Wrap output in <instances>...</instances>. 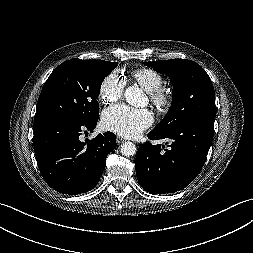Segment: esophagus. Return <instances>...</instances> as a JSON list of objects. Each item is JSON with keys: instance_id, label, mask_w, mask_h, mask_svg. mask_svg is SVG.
<instances>
[{"instance_id": "obj_1", "label": "esophagus", "mask_w": 253, "mask_h": 253, "mask_svg": "<svg viewBox=\"0 0 253 253\" xmlns=\"http://www.w3.org/2000/svg\"><path fill=\"white\" fill-rule=\"evenodd\" d=\"M116 142H117V144H121L122 142H124V140L120 137H117Z\"/></svg>"}]
</instances>
